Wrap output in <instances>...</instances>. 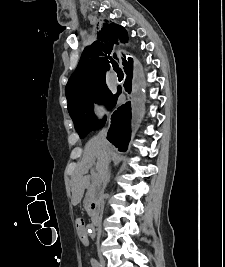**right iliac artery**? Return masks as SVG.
Here are the masks:
<instances>
[{"label": "right iliac artery", "instance_id": "1", "mask_svg": "<svg viewBox=\"0 0 225 267\" xmlns=\"http://www.w3.org/2000/svg\"><path fill=\"white\" fill-rule=\"evenodd\" d=\"M88 232L91 233L92 230L88 229ZM91 264H92V267H100L99 262L97 260H95V259H91Z\"/></svg>", "mask_w": 225, "mask_h": 267}]
</instances>
